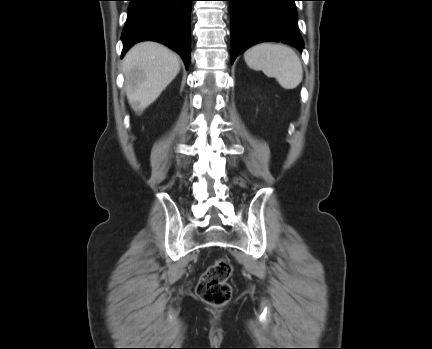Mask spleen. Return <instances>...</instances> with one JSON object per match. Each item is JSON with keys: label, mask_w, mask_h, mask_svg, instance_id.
Segmentation results:
<instances>
[{"label": "spleen", "mask_w": 432, "mask_h": 349, "mask_svg": "<svg viewBox=\"0 0 432 349\" xmlns=\"http://www.w3.org/2000/svg\"><path fill=\"white\" fill-rule=\"evenodd\" d=\"M246 64L254 70H262L287 90L296 88L303 79L301 61L295 51L283 44L261 43L244 53Z\"/></svg>", "instance_id": "3e777b00"}]
</instances>
